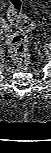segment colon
Here are the masks:
<instances>
[{
	"label": "colon",
	"mask_w": 51,
	"mask_h": 153,
	"mask_svg": "<svg viewBox=\"0 0 51 153\" xmlns=\"http://www.w3.org/2000/svg\"><path fill=\"white\" fill-rule=\"evenodd\" d=\"M10 24L16 28L7 34V47L17 67L24 68L29 62L27 39L24 35L33 29V23L22 13V1L10 0L8 10Z\"/></svg>",
	"instance_id": "obj_1"
}]
</instances>
